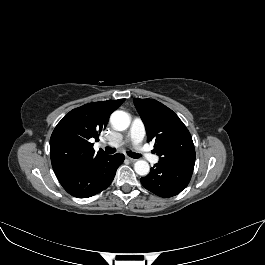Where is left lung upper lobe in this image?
Returning a JSON list of instances; mask_svg holds the SVG:
<instances>
[{
	"label": "left lung upper lobe",
	"instance_id": "1",
	"mask_svg": "<svg viewBox=\"0 0 265 265\" xmlns=\"http://www.w3.org/2000/svg\"><path fill=\"white\" fill-rule=\"evenodd\" d=\"M139 112L149 141L161 163L195 162V148L190 132L179 117L154 99L133 100Z\"/></svg>",
	"mask_w": 265,
	"mask_h": 265
}]
</instances>
